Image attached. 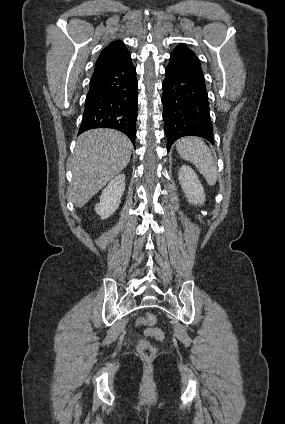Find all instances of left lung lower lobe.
Returning <instances> with one entry per match:
<instances>
[{"label":"left lung lower lobe","instance_id":"1","mask_svg":"<svg viewBox=\"0 0 285 424\" xmlns=\"http://www.w3.org/2000/svg\"><path fill=\"white\" fill-rule=\"evenodd\" d=\"M162 88L167 150L180 137L199 136L213 141L208 95L199 59L184 44L170 55Z\"/></svg>","mask_w":285,"mask_h":424}]
</instances>
